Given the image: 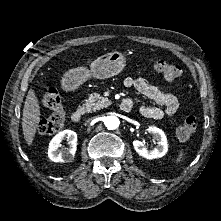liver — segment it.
Here are the masks:
<instances>
[{
    "label": "liver",
    "instance_id": "1",
    "mask_svg": "<svg viewBox=\"0 0 221 221\" xmlns=\"http://www.w3.org/2000/svg\"><path fill=\"white\" fill-rule=\"evenodd\" d=\"M40 106L34 90L30 89L27 93L23 108L22 131L24 139L31 145L40 122Z\"/></svg>",
    "mask_w": 221,
    "mask_h": 221
}]
</instances>
